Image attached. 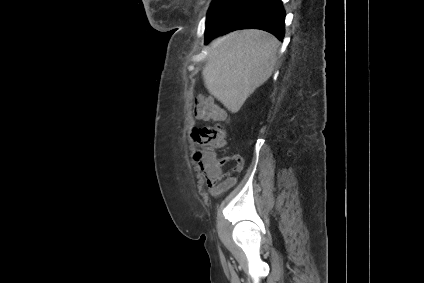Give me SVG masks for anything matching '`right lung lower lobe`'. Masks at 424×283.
Masks as SVG:
<instances>
[{
	"instance_id": "98d812e1",
	"label": "right lung lower lobe",
	"mask_w": 424,
	"mask_h": 283,
	"mask_svg": "<svg viewBox=\"0 0 424 283\" xmlns=\"http://www.w3.org/2000/svg\"><path fill=\"white\" fill-rule=\"evenodd\" d=\"M285 10L281 0H228L207 24L205 44L230 31L255 28L284 37Z\"/></svg>"
}]
</instances>
